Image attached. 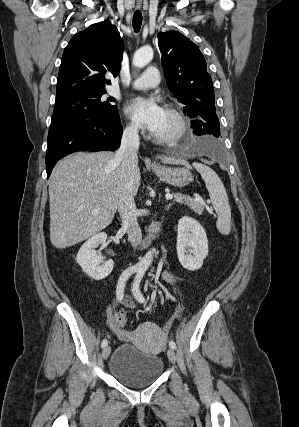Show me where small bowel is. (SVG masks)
<instances>
[{"mask_svg": "<svg viewBox=\"0 0 299 427\" xmlns=\"http://www.w3.org/2000/svg\"><path fill=\"white\" fill-rule=\"evenodd\" d=\"M163 279L168 283H173L176 281V276L171 272L165 271L163 273ZM121 302L127 308H133L135 306L134 301L128 295L123 296ZM120 314L122 313L116 312L114 314H111L110 309H108L105 312V321L110 331H112L119 339L126 340L131 337L132 333L130 331L120 330L116 325L115 318Z\"/></svg>", "mask_w": 299, "mask_h": 427, "instance_id": "small-bowel-1", "label": "small bowel"}]
</instances>
